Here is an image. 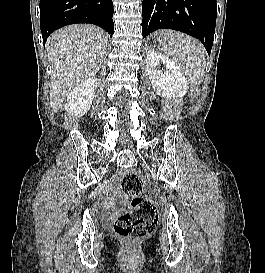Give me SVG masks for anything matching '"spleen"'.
Masks as SVG:
<instances>
[{"mask_svg":"<svg viewBox=\"0 0 265 273\" xmlns=\"http://www.w3.org/2000/svg\"><path fill=\"white\" fill-rule=\"evenodd\" d=\"M160 49L185 71L190 84L201 83L205 69V50L201 43L177 31H163L158 36Z\"/></svg>","mask_w":265,"mask_h":273,"instance_id":"spleen-1","label":"spleen"}]
</instances>
